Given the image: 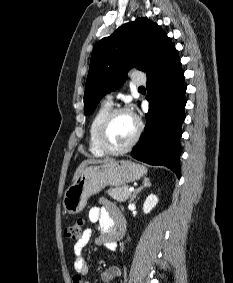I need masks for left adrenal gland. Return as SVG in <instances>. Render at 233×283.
Instances as JSON below:
<instances>
[{
    "label": "left adrenal gland",
    "mask_w": 233,
    "mask_h": 283,
    "mask_svg": "<svg viewBox=\"0 0 233 283\" xmlns=\"http://www.w3.org/2000/svg\"><path fill=\"white\" fill-rule=\"evenodd\" d=\"M151 186L150 180L149 178H144L142 185L135 190V192L133 193L130 202L134 201V199L136 198L137 194H139L141 192V190H143L144 188H148Z\"/></svg>",
    "instance_id": "left-adrenal-gland-1"
}]
</instances>
